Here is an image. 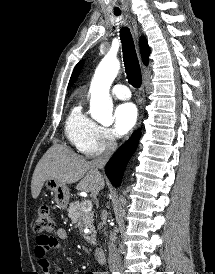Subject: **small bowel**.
<instances>
[{
    "label": "small bowel",
    "instance_id": "obj_1",
    "mask_svg": "<svg viewBox=\"0 0 215 274\" xmlns=\"http://www.w3.org/2000/svg\"><path fill=\"white\" fill-rule=\"evenodd\" d=\"M56 237L48 235H39L36 238L35 256L38 259L40 268L45 274L50 273V260L49 252L53 249L60 247V241H65L68 238V234L65 229L58 228L55 231ZM56 274H65L64 272H57ZM87 274H105L104 272L93 271Z\"/></svg>",
    "mask_w": 215,
    "mask_h": 274
}]
</instances>
